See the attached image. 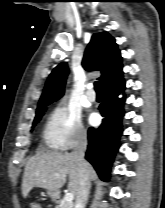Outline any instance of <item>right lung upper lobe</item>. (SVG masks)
<instances>
[{
  "label": "right lung upper lobe",
  "instance_id": "1",
  "mask_svg": "<svg viewBox=\"0 0 165 208\" xmlns=\"http://www.w3.org/2000/svg\"><path fill=\"white\" fill-rule=\"evenodd\" d=\"M82 65L88 71L101 72L98 79L102 87L121 75L122 60L115 39L107 32L95 33L85 50ZM68 72L66 62L53 69L46 81L37 112L63 96Z\"/></svg>",
  "mask_w": 165,
  "mask_h": 208
}]
</instances>
